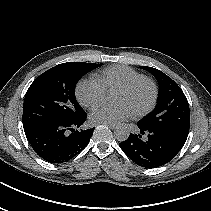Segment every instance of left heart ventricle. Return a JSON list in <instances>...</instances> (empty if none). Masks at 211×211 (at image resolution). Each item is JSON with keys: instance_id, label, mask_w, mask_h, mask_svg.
Listing matches in <instances>:
<instances>
[{"instance_id": "obj_1", "label": "left heart ventricle", "mask_w": 211, "mask_h": 211, "mask_svg": "<svg viewBox=\"0 0 211 211\" xmlns=\"http://www.w3.org/2000/svg\"><path fill=\"white\" fill-rule=\"evenodd\" d=\"M152 97V89L148 84H141L130 92L117 90L114 95V102L125 104L132 111L142 109L147 106Z\"/></svg>"}]
</instances>
